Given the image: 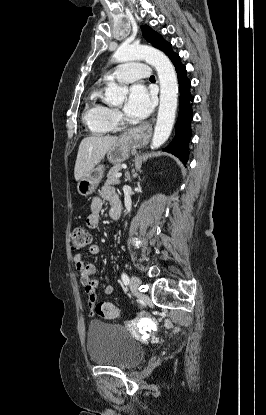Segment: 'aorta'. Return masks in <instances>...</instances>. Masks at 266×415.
<instances>
[{"label":"aorta","mask_w":266,"mask_h":415,"mask_svg":"<svg viewBox=\"0 0 266 415\" xmlns=\"http://www.w3.org/2000/svg\"><path fill=\"white\" fill-rule=\"evenodd\" d=\"M113 58L117 62L145 60L155 67L160 81V105L151 148H159L171 134L177 109L178 83L171 61L155 48L131 44L120 45ZM127 92V88L111 82L105 91V100L111 104L121 103Z\"/></svg>","instance_id":"762f6f07"}]
</instances>
